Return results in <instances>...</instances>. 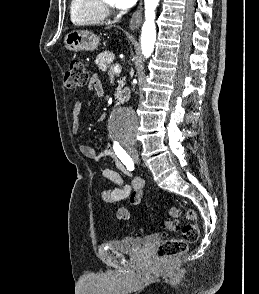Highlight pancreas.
<instances>
[{"label":"pancreas","instance_id":"1","mask_svg":"<svg viewBox=\"0 0 259 294\" xmlns=\"http://www.w3.org/2000/svg\"><path fill=\"white\" fill-rule=\"evenodd\" d=\"M113 60H114L113 53L106 51V52H103V53H101V54H99L97 56V58L95 60V63H96V65L98 66V68L100 70H102V71H107L108 70L110 74H115L113 72L114 65H111V63L113 62ZM124 80L125 79H122L120 81L119 89L124 86ZM118 100L119 101H122L123 100V97L122 96H119L118 97Z\"/></svg>","mask_w":259,"mask_h":294}]
</instances>
